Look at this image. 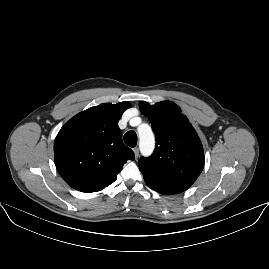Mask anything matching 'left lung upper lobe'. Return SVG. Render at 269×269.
Returning a JSON list of instances; mask_svg holds the SVG:
<instances>
[{
	"instance_id": "5c2ea615",
	"label": "left lung upper lobe",
	"mask_w": 269,
	"mask_h": 269,
	"mask_svg": "<svg viewBox=\"0 0 269 269\" xmlns=\"http://www.w3.org/2000/svg\"><path fill=\"white\" fill-rule=\"evenodd\" d=\"M155 133L156 147L138 166L144 178L163 183L191 186L204 167L202 143L180 108L163 101L154 105L139 103Z\"/></svg>"
}]
</instances>
